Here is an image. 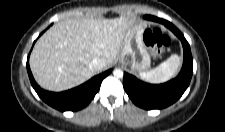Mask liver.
<instances>
[{"mask_svg":"<svg viewBox=\"0 0 225 132\" xmlns=\"http://www.w3.org/2000/svg\"><path fill=\"white\" fill-rule=\"evenodd\" d=\"M135 19H67L48 29L30 55V68L44 89L60 92L78 86L98 72L89 68L94 58L104 61V69L114 63L128 28Z\"/></svg>","mask_w":225,"mask_h":132,"instance_id":"1","label":"liver"}]
</instances>
